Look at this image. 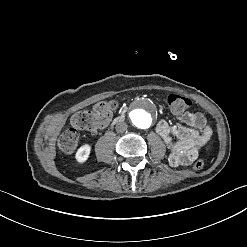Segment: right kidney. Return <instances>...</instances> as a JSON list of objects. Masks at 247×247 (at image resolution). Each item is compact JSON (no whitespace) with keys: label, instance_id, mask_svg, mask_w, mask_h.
Masks as SVG:
<instances>
[{"label":"right kidney","instance_id":"right-kidney-1","mask_svg":"<svg viewBox=\"0 0 247 247\" xmlns=\"http://www.w3.org/2000/svg\"><path fill=\"white\" fill-rule=\"evenodd\" d=\"M90 150H91V147L88 144L81 146L76 153V156H75L76 160L79 163L85 162L89 157Z\"/></svg>","mask_w":247,"mask_h":247}]
</instances>
